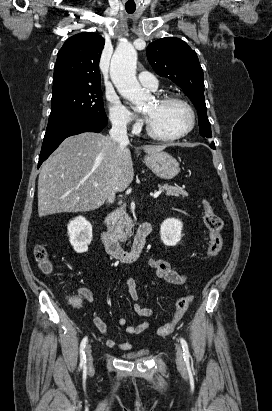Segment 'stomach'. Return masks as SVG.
Wrapping results in <instances>:
<instances>
[{
    "instance_id": "obj_1",
    "label": "stomach",
    "mask_w": 272,
    "mask_h": 411,
    "mask_svg": "<svg viewBox=\"0 0 272 411\" xmlns=\"http://www.w3.org/2000/svg\"><path fill=\"white\" fill-rule=\"evenodd\" d=\"M144 161L152 172L162 179H172L180 172L177 160L166 152L148 154Z\"/></svg>"
}]
</instances>
